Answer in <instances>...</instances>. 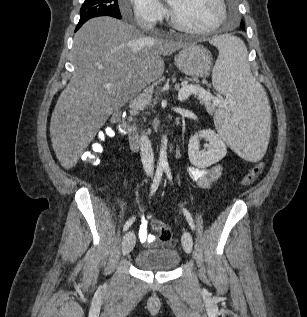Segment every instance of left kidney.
Instances as JSON below:
<instances>
[{"instance_id": "5707ae66", "label": "left kidney", "mask_w": 307, "mask_h": 317, "mask_svg": "<svg viewBox=\"0 0 307 317\" xmlns=\"http://www.w3.org/2000/svg\"><path fill=\"white\" fill-rule=\"evenodd\" d=\"M199 138H204L208 144L206 151H200ZM227 153L223 140L213 130H202L192 136L188 144V156L190 162L198 168L209 167L220 161Z\"/></svg>"}]
</instances>
